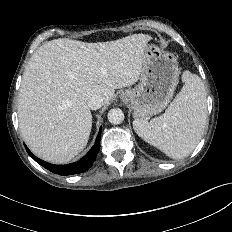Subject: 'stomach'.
<instances>
[{
  "instance_id": "stomach-1",
  "label": "stomach",
  "mask_w": 232,
  "mask_h": 232,
  "mask_svg": "<svg viewBox=\"0 0 232 232\" xmlns=\"http://www.w3.org/2000/svg\"><path fill=\"white\" fill-rule=\"evenodd\" d=\"M173 54L153 43L144 51L139 83L123 93L133 109V117L146 120L162 112L173 98L179 79Z\"/></svg>"
}]
</instances>
